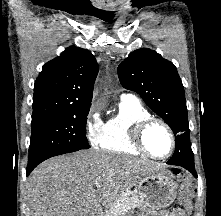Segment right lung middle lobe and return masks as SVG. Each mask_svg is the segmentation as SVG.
I'll return each instance as SVG.
<instances>
[{"mask_svg": "<svg viewBox=\"0 0 221 216\" xmlns=\"http://www.w3.org/2000/svg\"><path fill=\"white\" fill-rule=\"evenodd\" d=\"M89 109L32 121L28 166L53 156L88 149L85 133Z\"/></svg>", "mask_w": 221, "mask_h": 216, "instance_id": "obj_1", "label": "right lung middle lobe"}]
</instances>
